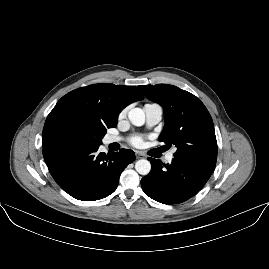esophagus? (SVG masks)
Segmentation results:
<instances>
[{
  "instance_id": "obj_1",
  "label": "esophagus",
  "mask_w": 269,
  "mask_h": 269,
  "mask_svg": "<svg viewBox=\"0 0 269 269\" xmlns=\"http://www.w3.org/2000/svg\"><path fill=\"white\" fill-rule=\"evenodd\" d=\"M136 158H144V155L141 152H135Z\"/></svg>"
}]
</instances>
